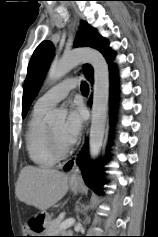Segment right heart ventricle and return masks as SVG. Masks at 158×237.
<instances>
[{
  "label": "right heart ventricle",
  "mask_w": 158,
  "mask_h": 237,
  "mask_svg": "<svg viewBox=\"0 0 158 237\" xmlns=\"http://www.w3.org/2000/svg\"><path fill=\"white\" fill-rule=\"evenodd\" d=\"M49 109L35 104L25 134L28 155L40 167H51L56 162L46 140L45 116Z\"/></svg>",
  "instance_id": "1"
}]
</instances>
